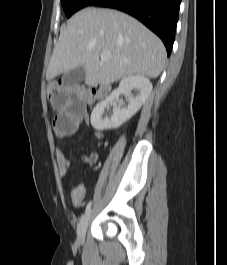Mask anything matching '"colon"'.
Instances as JSON below:
<instances>
[{
  "label": "colon",
  "instance_id": "obj_1",
  "mask_svg": "<svg viewBox=\"0 0 227 265\" xmlns=\"http://www.w3.org/2000/svg\"><path fill=\"white\" fill-rule=\"evenodd\" d=\"M56 87H79V91H83L86 99V105H91L95 101L94 93L87 87L81 85H67L58 82H50L46 85V95L52 101V96H55Z\"/></svg>",
  "mask_w": 227,
  "mask_h": 265
}]
</instances>
